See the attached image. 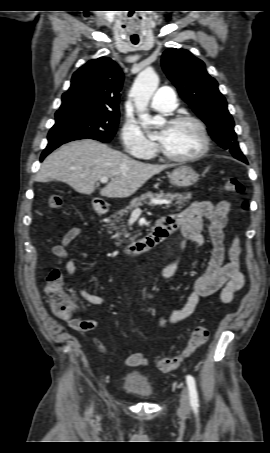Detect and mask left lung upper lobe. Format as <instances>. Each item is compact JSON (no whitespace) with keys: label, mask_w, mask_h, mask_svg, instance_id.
Here are the masks:
<instances>
[{"label":"left lung upper lobe","mask_w":270,"mask_h":453,"mask_svg":"<svg viewBox=\"0 0 270 453\" xmlns=\"http://www.w3.org/2000/svg\"><path fill=\"white\" fill-rule=\"evenodd\" d=\"M162 68L181 98L206 123L213 140L244 161L227 102L217 81L207 73L205 64L188 50L170 48L162 55Z\"/></svg>","instance_id":"obj_1"}]
</instances>
